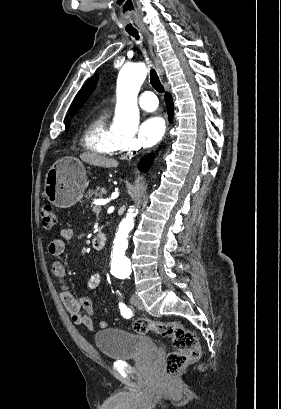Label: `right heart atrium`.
Returning <instances> with one entry per match:
<instances>
[{"instance_id":"d8ad5b80","label":"right heart atrium","mask_w":281,"mask_h":409,"mask_svg":"<svg viewBox=\"0 0 281 409\" xmlns=\"http://www.w3.org/2000/svg\"><path fill=\"white\" fill-rule=\"evenodd\" d=\"M126 145H127V147L130 148V149H136V148H137L136 143H135L133 140H131V139H129V140L126 142Z\"/></svg>"}]
</instances>
